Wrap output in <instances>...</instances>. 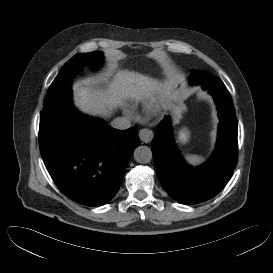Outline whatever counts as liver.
<instances>
[{
    "instance_id": "obj_1",
    "label": "liver",
    "mask_w": 273,
    "mask_h": 273,
    "mask_svg": "<svg viewBox=\"0 0 273 273\" xmlns=\"http://www.w3.org/2000/svg\"><path fill=\"white\" fill-rule=\"evenodd\" d=\"M75 103L85 113L109 117L113 110L123 106L125 99H153L159 94L161 100L168 95L159 82L134 71L120 70L106 88H99L87 82L73 86Z\"/></svg>"
}]
</instances>
